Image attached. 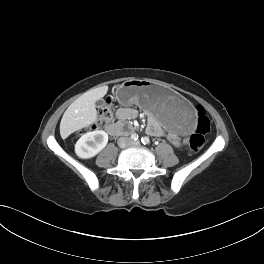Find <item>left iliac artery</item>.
Masks as SVG:
<instances>
[{
  "mask_svg": "<svg viewBox=\"0 0 264 264\" xmlns=\"http://www.w3.org/2000/svg\"><path fill=\"white\" fill-rule=\"evenodd\" d=\"M141 142L144 144V145H149L150 144V139L148 137H142L141 138Z\"/></svg>",
  "mask_w": 264,
  "mask_h": 264,
  "instance_id": "1",
  "label": "left iliac artery"
}]
</instances>
